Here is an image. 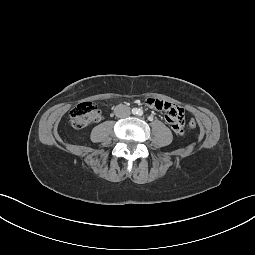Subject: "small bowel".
Returning <instances> with one entry per match:
<instances>
[{
    "label": "small bowel",
    "mask_w": 255,
    "mask_h": 255,
    "mask_svg": "<svg viewBox=\"0 0 255 255\" xmlns=\"http://www.w3.org/2000/svg\"><path fill=\"white\" fill-rule=\"evenodd\" d=\"M146 103L149 107L165 113L176 136H183L186 133L185 112L180 106L156 98H148Z\"/></svg>",
    "instance_id": "obj_1"
}]
</instances>
